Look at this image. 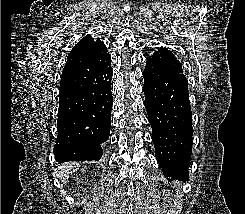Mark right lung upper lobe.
<instances>
[{
	"mask_svg": "<svg viewBox=\"0 0 245 214\" xmlns=\"http://www.w3.org/2000/svg\"><path fill=\"white\" fill-rule=\"evenodd\" d=\"M109 57L102 41H94L91 36H86L73 47L67 59L76 58L79 84L86 87L94 82L101 66Z\"/></svg>",
	"mask_w": 245,
	"mask_h": 214,
	"instance_id": "right-lung-upper-lobe-1",
	"label": "right lung upper lobe"
}]
</instances>
